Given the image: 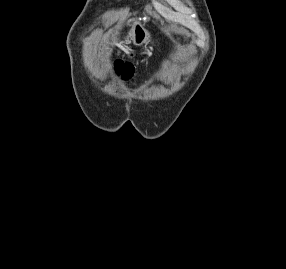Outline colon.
<instances>
[{"label": "colon", "mask_w": 286, "mask_h": 269, "mask_svg": "<svg viewBox=\"0 0 286 269\" xmlns=\"http://www.w3.org/2000/svg\"><path fill=\"white\" fill-rule=\"evenodd\" d=\"M116 66H117L118 70L123 71L126 75H130L132 73L131 64L128 62L120 61L117 63Z\"/></svg>", "instance_id": "1"}]
</instances>
